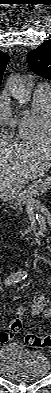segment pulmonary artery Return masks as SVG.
<instances>
[{
	"label": "pulmonary artery",
	"instance_id": "obj_1",
	"mask_svg": "<svg viewBox=\"0 0 51 393\" xmlns=\"http://www.w3.org/2000/svg\"><path fill=\"white\" fill-rule=\"evenodd\" d=\"M41 86H45V87H48V85H47V84H43V85H41Z\"/></svg>",
	"mask_w": 51,
	"mask_h": 393
}]
</instances>
